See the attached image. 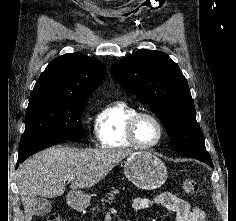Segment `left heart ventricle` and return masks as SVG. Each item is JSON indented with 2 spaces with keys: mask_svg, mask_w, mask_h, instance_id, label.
Listing matches in <instances>:
<instances>
[{
  "mask_svg": "<svg viewBox=\"0 0 236 221\" xmlns=\"http://www.w3.org/2000/svg\"><path fill=\"white\" fill-rule=\"evenodd\" d=\"M158 127L155 122L149 118H141L136 126L137 140L143 145L154 143L158 138Z\"/></svg>",
  "mask_w": 236,
  "mask_h": 221,
  "instance_id": "1",
  "label": "left heart ventricle"
}]
</instances>
